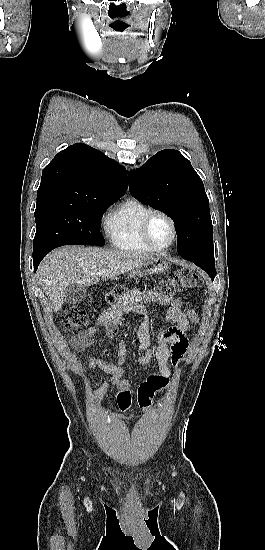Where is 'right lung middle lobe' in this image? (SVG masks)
<instances>
[{
  "label": "right lung middle lobe",
  "mask_w": 265,
  "mask_h": 550,
  "mask_svg": "<svg viewBox=\"0 0 265 550\" xmlns=\"http://www.w3.org/2000/svg\"><path fill=\"white\" fill-rule=\"evenodd\" d=\"M119 198L68 200L37 198L33 254L49 253L63 245H104L101 216Z\"/></svg>",
  "instance_id": "dd1d6c3e"
}]
</instances>
